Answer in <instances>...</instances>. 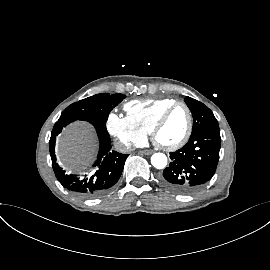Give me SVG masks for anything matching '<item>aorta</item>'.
Here are the masks:
<instances>
[{
	"instance_id": "aorta-1",
	"label": "aorta",
	"mask_w": 270,
	"mask_h": 270,
	"mask_svg": "<svg viewBox=\"0 0 270 270\" xmlns=\"http://www.w3.org/2000/svg\"><path fill=\"white\" fill-rule=\"evenodd\" d=\"M151 164L156 169H163L167 165V157L163 153H155L151 157Z\"/></svg>"
}]
</instances>
